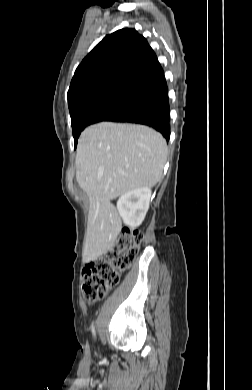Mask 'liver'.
Instances as JSON below:
<instances>
[{
  "label": "liver",
  "instance_id": "6515ba94",
  "mask_svg": "<svg viewBox=\"0 0 252 390\" xmlns=\"http://www.w3.org/2000/svg\"><path fill=\"white\" fill-rule=\"evenodd\" d=\"M166 157L165 139L147 126L101 122L81 133L76 180L90 203L84 262L106 254L120 235L121 218L111 200L156 185Z\"/></svg>",
  "mask_w": 252,
  "mask_h": 390
}]
</instances>
